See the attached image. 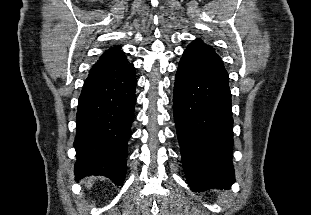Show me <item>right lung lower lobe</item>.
Segmentation results:
<instances>
[{
	"label": "right lung lower lobe",
	"mask_w": 311,
	"mask_h": 215,
	"mask_svg": "<svg viewBox=\"0 0 311 215\" xmlns=\"http://www.w3.org/2000/svg\"><path fill=\"white\" fill-rule=\"evenodd\" d=\"M136 83L129 61L95 63L90 69L77 108L76 179L103 175L123 183Z\"/></svg>",
	"instance_id": "1"
}]
</instances>
